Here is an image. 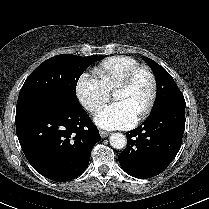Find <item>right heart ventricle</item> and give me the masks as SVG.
I'll return each instance as SVG.
<instances>
[{
  "label": "right heart ventricle",
  "instance_id": "obj_1",
  "mask_svg": "<svg viewBox=\"0 0 209 209\" xmlns=\"http://www.w3.org/2000/svg\"><path fill=\"white\" fill-rule=\"evenodd\" d=\"M138 65V61L134 58L114 56L102 61L95 71L106 88L113 91L128 72Z\"/></svg>",
  "mask_w": 209,
  "mask_h": 209
}]
</instances>
